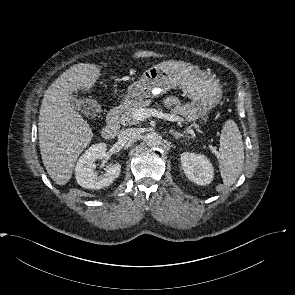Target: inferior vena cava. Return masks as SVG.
I'll return each mask as SVG.
<instances>
[{"label": "inferior vena cava", "instance_id": "inferior-vena-cava-1", "mask_svg": "<svg viewBox=\"0 0 295 295\" xmlns=\"http://www.w3.org/2000/svg\"><path fill=\"white\" fill-rule=\"evenodd\" d=\"M140 132L137 128H127L120 131L118 138L121 142H130L139 136Z\"/></svg>", "mask_w": 295, "mask_h": 295}]
</instances>
